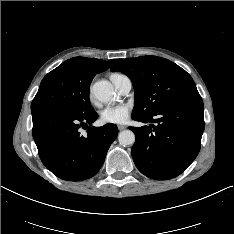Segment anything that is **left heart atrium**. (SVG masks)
I'll return each instance as SVG.
<instances>
[{"mask_svg": "<svg viewBox=\"0 0 234 234\" xmlns=\"http://www.w3.org/2000/svg\"><path fill=\"white\" fill-rule=\"evenodd\" d=\"M131 108L128 104L107 106L100 113V119L105 124H124L130 117Z\"/></svg>", "mask_w": 234, "mask_h": 234, "instance_id": "1", "label": "left heart atrium"}]
</instances>
